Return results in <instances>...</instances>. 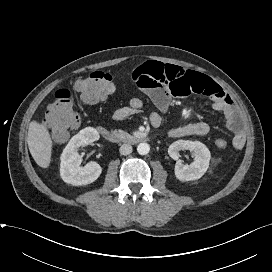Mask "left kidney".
<instances>
[{
	"mask_svg": "<svg viewBox=\"0 0 272 272\" xmlns=\"http://www.w3.org/2000/svg\"><path fill=\"white\" fill-rule=\"evenodd\" d=\"M181 150L193 152L194 160L190 165L183 164L179 159ZM168 154L174 160L175 176L180 181H192L201 178L209 167L211 154L209 149L200 141L178 140L168 148Z\"/></svg>",
	"mask_w": 272,
	"mask_h": 272,
	"instance_id": "5707ae66",
	"label": "left kidney"
}]
</instances>
